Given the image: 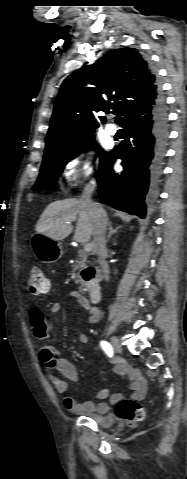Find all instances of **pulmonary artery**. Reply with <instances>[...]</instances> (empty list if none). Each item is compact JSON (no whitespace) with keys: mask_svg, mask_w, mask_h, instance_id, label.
I'll return each instance as SVG.
<instances>
[{"mask_svg":"<svg viewBox=\"0 0 187 479\" xmlns=\"http://www.w3.org/2000/svg\"><path fill=\"white\" fill-rule=\"evenodd\" d=\"M106 132L109 134V135H115L117 133V127L116 125L114 124H108L106 126Z\"/></svg>","mask_w":187,"mask_h":479,"instance_id":"1","label":"pulmonary artery"}]
</instances>
